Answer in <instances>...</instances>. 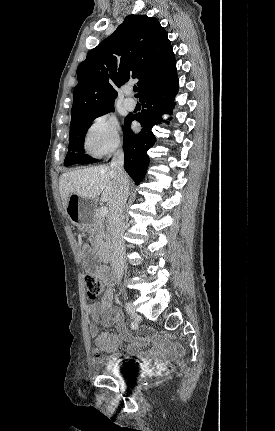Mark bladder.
Here are the masks:
<instances>
[{"label": "bladder", "mask_w": 275, "mask_h": 431, "mask_svg": "<svg viewBox=\"0 0 275 431\" xmlns=\"http://www.w3.org/2000/svg\"><path fill=\"white\" fill-rule=\"evenodd\" d=\"M130 365L132 366L133 364L131 363ZM128 367L126 361L120 360L119 362L106 363L104 365V371L117 381H124L128 377Z\"/></svg>", "instance_id": "1"}]
</instances>
